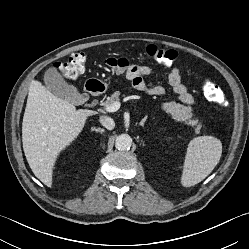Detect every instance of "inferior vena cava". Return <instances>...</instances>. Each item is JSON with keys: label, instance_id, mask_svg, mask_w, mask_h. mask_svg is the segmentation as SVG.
<instances>
[{"label": "inferior vena cava", "instance_id": "602c4592", "mask_svg": "<svg viewBox=\"0 0 249 249\" xmlns=\"http://www.w3.org/2000/svg\"><path fill=\"white\" fill-rule=\"evenodd\" d=\"M100 123L108 130H112L115 127L114 120L111 117L102 115L99 118Z\"/></svg>", "mask_w": 249, "mask_h": 249}]
</instances>
